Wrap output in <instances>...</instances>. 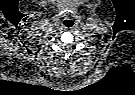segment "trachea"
Instances as JSON below:
<instances>
[{"instance_id": "1", "label": "trachea", "mask_w": 135, "mask_h": 95, "mask_svg": "<svg viewBox=\"0 0 135 95\" xmlns=\"http://www.w3.org/2000/svg\"><path fill=\"white\" fill-rule=\"evenodd\" d=\"M64 24L67 26V27H72L74 25V22L72 20H65L64 21Z\"/></svg>"}]
</instances>
